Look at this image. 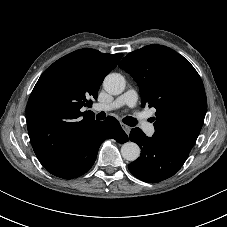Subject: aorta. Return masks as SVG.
Wrapping results in <instances>:
<instances>
[{
  "mask_svg": "<svg viewBox=\"0 0 227 227\" xmlns=\"http://www.w3.org/2000/svg\"><path fill=\"white\" fill-rule=\"evenodd\" d=\"M125 79L121 74L111 73L103 81L104 89L112 95H119L125 89ZM121 155L125 160L135 161L140 156V148L134 142H126L121 147Z\"/></svg>",
  "mask_w": 227,
  "mask_h": 227,
  "instance_id": "762f6f07",
  "label": "aorta"
}]
</instances>
